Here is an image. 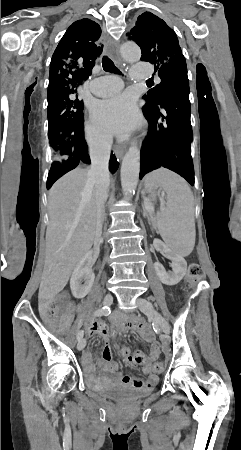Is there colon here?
<instances>
[{
  "instance_id": "1",
  "label": "colon",
  "mask_w": 241,
  "mask_h": 450,
  "mask_svg": "<svg viewBox=\"0 0 241 450\" xmlns=\"http://www.w3.org/2000/svg\"><path fill=\"white\" fill-rule=\"evenodd\" d=\"M202 275H203V269H202V267H201L199 264H197V263H191V264L189 265V268H188V279H189L190 281L197 280V279L201 278ZM76 310H77L78 312H81V311L83 310V307H82L81 305H78V306L76 307ZM162 369H163L162 364H157V365L155 366V371H156V372H161Z\"/></svg>"
}]
</instances>
